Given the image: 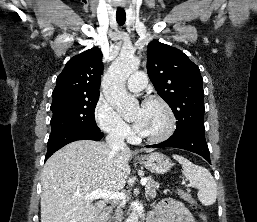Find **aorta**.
I'll return each instance as SVG.
<instances>
[{"instance_id":"obj_1","label":"aorta","mask_w":257,"mask_h":222,"mask_svg":"<svg viewBox=\"0 0 257 222\" xmlns=\"http://www.w3.org/2000/svg\"><path fill=\"white\" fill-rule=\"evenodd\" d=\"M140 60L126 51L111 64L102 80V90L108 103L120 114L126 115L138 107V101L127 93L125 83L129 75L138 69ZM126 222H138V207L134 206Z\"/></svg>"}]
</instances>
